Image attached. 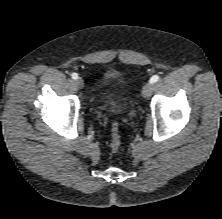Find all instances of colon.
I'll list each match as a JSON object with an SVG mask.
<instances>
[{"label":"colon","mask_w":222,"mask_h":219,"mask_svg":"<svg viewBox=\"0 0 222 219\" xmlns=\"http://www.w3.org/2000/svg\"><path fill=\"white\" fill-rule=\"evenodd\" d=\"M121 144V138L116 125L113 126L111 135V148L113 151H117Z\"/></svg>","instance_id":"obj_1"}]
</instances>
